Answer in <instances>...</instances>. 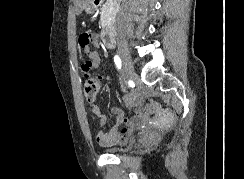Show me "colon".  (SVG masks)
Instances as JSON below:
<instances>
[{
	"instance_id": "colon-1",
	"label": "colon",
	"mask_w": 244,
	"mask_h": 179,
	"mask_svg": "<svg viewBox=\"0 0 244 179\" xmlns=\"http://www.w3.org/2000/svg\"><path fill=\"white\" fill-rule=\"evenodd\" d=\"M83 96L88 102H95L99 92V83L96 79L91 78L88 74L84 76ZM150 101L154 100L153 96L149 97Z\"/></svg>"
}]
</instances>
